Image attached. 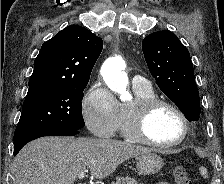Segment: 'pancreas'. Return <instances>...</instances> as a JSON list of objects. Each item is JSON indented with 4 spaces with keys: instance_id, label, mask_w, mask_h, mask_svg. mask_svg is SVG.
Returning <instances> with one entry per match:
<instances>
[{
    "instance_id": "obj_1",
    "label": "pancreas",
    "mask_w": 224,
    "mask_h": 184,
    "mask_svg": "<svg viewBox=\"0 0 224 184\" xmlns=\"http://www.w3.org/2000/svg\"><path fill=\"white\" fill-rule=\"evenodd\" d=\"M111 184H138V183L134 178H131V177H125V178L118 177L116 181L112 182Z\"/></svg>"
}]
</instances>
